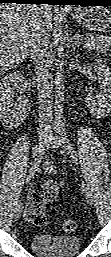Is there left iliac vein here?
Wrapping results in <instances>:
<instances>
[{
	"label": "left iliac vein",
	"mask_w": 111,
	"mask_h": 257,
	"mask_svg": "<svg viewBox=\"0 0 111 257\" xmlns=\"http://www.w3.org/2000/svg\"><path fill=\"white\" fill-rule=\"evenodd\" d=\"M51 145L53 148H56V149L61 148V152H64V148L62 147V139L59 136L57 135L54 136V139L51 142ZM82 191L88 203L92 204L93 199H92L90 190L85 183H82Z\"/></svg>",
	"instance_id": "4c4485c4"
}]
</instances>
